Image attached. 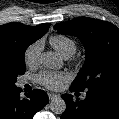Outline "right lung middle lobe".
Returning a JSON list of instances; mask_svg holds the SVG:
<instances>
[{"label": "right lung middle lobe", "instance_id": "right-lung-middle-lobe-1", "mask_svg": "<svg viewBox=\"0 0 119 119\" xmlns=\"http://www.w3.org/2000/svg\"><path fill=\"white\" fill-rule=\"evenodd\" d=\"M32 43L22 38L8 43L0 55V84L15 87L17 76L25 73L24 52Z\"/></svg>", "mask_w": 119, "mask_h": 119}]
</instances>
